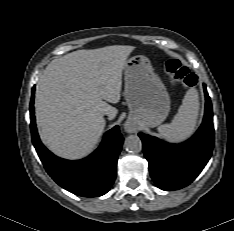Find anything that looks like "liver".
<instances>
[{
    "mask_svg": "<svg viewBox=\"0 0 234 231\" xmlns=\"http://www.w3.org/2000/svg\"><path fill=\"white\" fill-rule=\"evenodd\" d=\"M133 46L77 50L52 60L36 86L35 115L42 142L66 159L86 156L113 119L122 71Z\"/></svg>",
    "mask_w": 234,
    "mask_h": 231,
    "instance_id": "6515ba94",
    "label": "liver"
}]
</instances>
